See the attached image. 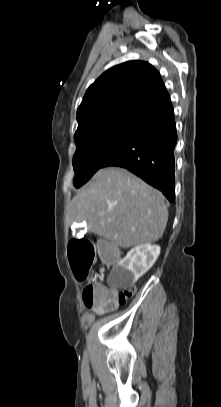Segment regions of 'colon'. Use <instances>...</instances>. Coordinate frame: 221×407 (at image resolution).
Instances as JSON below:
<instances>
[{
  "mask_svg": "<svg viewBox=\"0 0 221 407\" xmlns=\"http://www.w3.org/2000/svg\"><path fill=\"white\" fill-rule=\"evenodd\" d=\"M121 246H114L112 240H105L103 246H98V255H102L105 268L113 266L119 261ZM96 258V248L87 239H73L69 244V259L76 278L83 281ZM135 291H111L104 285L90 283L83 289V301L88 308H95L100 312H109L125 303Z\"/></svg>",
  "mask_w": 221,
  "mask_h": 407,
  "instance_id": "colon-1",
  "label": "colon"
}]
</instances>
